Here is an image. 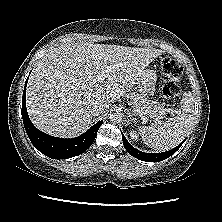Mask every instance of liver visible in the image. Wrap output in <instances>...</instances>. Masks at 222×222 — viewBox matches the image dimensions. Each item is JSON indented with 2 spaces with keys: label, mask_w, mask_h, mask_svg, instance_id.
<instances>
[{
  "label": "liver",
  "mask_w": 222,
  "mask_h": 222,
  "mask_svg": "<svg viewBox=\"0 0 222 222\" xmlns=\"http://www.w3.org/2000/svg\"><path fill=\"white\" fill-rule=\"evenodd\" d=\"M160 49L75 42L39 60L28 81L29 117L41 131L71 138L90 124V111L106 109L129 93Z\"/></svg>",
  "instance_id": "6515ba94"
}]
</instances>
